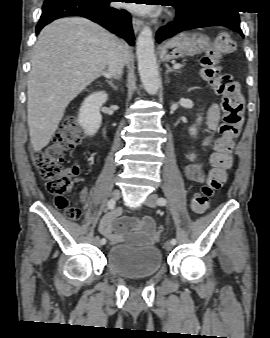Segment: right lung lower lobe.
<instances>
[{
	"mask_svg": "<svg viewBox=\"0 0 270 338\" xmlns=\"http://www.w3.org/2000/svg\"><path fill=\"white\" fill-rule=\"evenodd\" d=\"M115 0H45L36 33L50 22L65 16H82L134 44L130 14L109 6Z\"/></svg>",
	"mask_w": 270,
	"mask_h": 338,
	"instance_id": "obj_1",
	"label": "right lung lower lobe"
}]
</instances>
